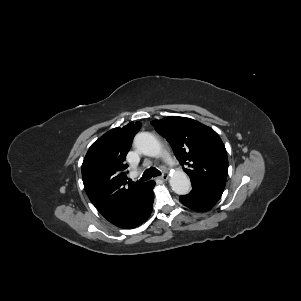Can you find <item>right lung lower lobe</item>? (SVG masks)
Here are the masks:
<instances>
[{"label": "right lung lower lobe", "mask_w": 301, "mask_h": 301, "mask_svg": "<svg viewBox=\"0 0 301 301\" xmlns=\"http://www.w3.org/2000/svg\"><path fill=\"white\" fill-rule=\"evenodd\" d=\"M154 181L145 183L130 212L118 223V227L131 229L144 223L152 212Z\"/></svg>", "instance_id": "right-lung-lower-lobe-1"}]
</instances>
